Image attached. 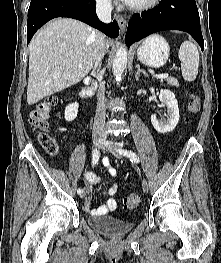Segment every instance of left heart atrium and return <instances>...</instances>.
Masks as SVG:
<instances>
[{
    "label": "left heart atrium",
    "instance_id": "left-heart-atrium-1",
    "mask_svg": "<svg viewBox=\"0 0 221 263\" xmlns=\"http://www.w3.org/2000/svg\"><path fill=\"white\" fill-rule=\"evenodd\" d=\"M120 1H122V2H124L126 4H129V5L134 2V0H120Z\"/></svg>",
    "mask_w": 221,
    "mask_h": 263
}]
</instances>
